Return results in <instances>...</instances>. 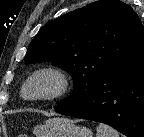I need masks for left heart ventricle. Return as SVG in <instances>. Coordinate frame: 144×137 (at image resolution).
I'll list each match as a JSON object with an SVG mask.
<instances>
[{"label":"left heart ventricle","instance_id":"1","mask_svg":"<svg viewBox=\"0 0 144 137\" xmlns=\"http://www.w3.org/2000/svg\"><path fill=\"white\" fill-rule=\"evenodd\" d=\"M55 88V81L50 77H40L34 80L26 89V95L36 96L50 93Z\"/></svg>","mask_w":144,"mask_h":137}]
</instances>
